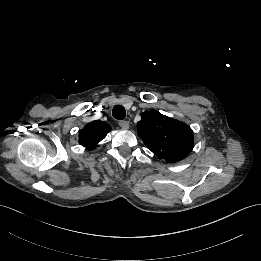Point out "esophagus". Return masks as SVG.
I'll return each mask as SVG.
<instances>
[{"mask_svg": "<svg viewBox=\"0 0 261 261\" xmlns=\"http://www.w3.org/2000/svg\"><path fill=\"white\" fill-rule=\"evenodd\" d=\"M118 124L123 129H128L129 128V122L128 121H119Z\"/></svg>", "mask_w": 261, "mask_h": 261, "instance_id": "1", "label": "esophagus"}]
</instances>
